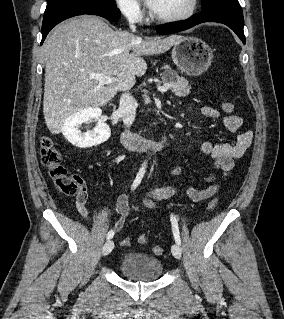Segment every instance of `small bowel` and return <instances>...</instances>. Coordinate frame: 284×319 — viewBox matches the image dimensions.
Masks as SVG:
<instances>
[{
  "label": "small bowel",
  "mask_w": 284,
  "mask_h": 319,
  "mask_svg": "<svg viewBox=\"0 0 284 319\" xmlns=\"http://www.w3.org/2000/svg\"><path fill=\"white\" fill-rule=\"evenodd\" d=\"M201 112L204 116L211 119L220 117L219 111L210 106L202 107ZM223 122L230 132H238L243 123L241 117L237 115L226 116ZM252 136V131L244 130L237 134L236 140L233 143H212L206 141L201 144V152L210 156L213 160L214 171L205 177V182L209 184L206 188L200 189L194 185L188 188V195L193 201L200 202L207 200L218 192L219 184L214 182L215 179L218 176L224 179L230 174L234 167L235 160L240 158L250 147ZM182 173L183 170L180 166H176L172 170V174L175 177L180 176ZM174 191V184L159 189H149L144 196V203L148 208L155 210L158 208V202L169 198L173 195ZM87 198L86 187L82 185L76 197V208L83 218L88 216V210L86 208ZM135 209L136 207L129 203L126 194L119 195L116 201V210L120 218L115 223L113 231L119 232L123 228L130 211Z\"/></svg>",
  "instance_id": "small-bowel-1"
}]
</instances>
